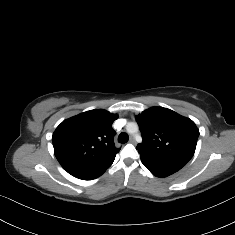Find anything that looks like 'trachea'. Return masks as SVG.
<instances>
[{"label":"trachea","mask_w":235,"mask_h":235,"mask_svg":"<svg viewBox=\"0 0 235 235\" xmlns=\"http://www.w3.org/2000/svg\"><path fill=\"white\" fill-rule=\"evenodd\" d=\"M128 140H129V136H128L126 133H121V134L118 136V141H119L120 143H126Z\"/></svg>","instance_id":"1"}]
</instances>
